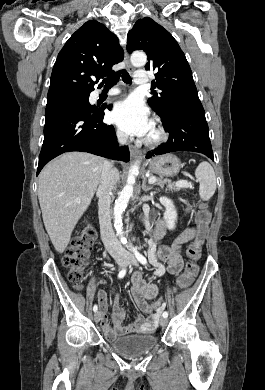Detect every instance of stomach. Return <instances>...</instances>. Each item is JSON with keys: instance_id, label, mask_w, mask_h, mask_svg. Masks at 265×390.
<instances>
[{"instance_id": "1", "label": "stomach", "mask_w": 265, "mask_h": 390, "mask_svg": "<svg viewBox=\"0 0 265 390\" xmlns=\"http://www.w3.org/2000/svg\"><path fill=\"white\" fill-rule=\"evenodd\" d=\"M148 166L149 170L155 174L165 177H174L179 173L182 164L175 155L166 154L150 160Z\"/></svg>"}]
</instances>
